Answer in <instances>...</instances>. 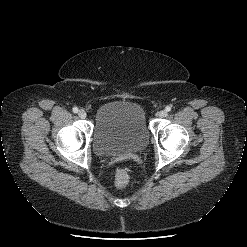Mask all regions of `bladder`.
I'll return each instance as SVG.
<instances>
[{"label":"bladder","instance_id":"bladder-1","mask_svg":"<svg viewBox=\"0 0 247 247\" xmlns=\"http://www.w3.org/2000/svg\"><path fill=\"white\" fill-rule=\"evenodd\" d=\"M144 108L132 100H113L98 108L92 134L100 156H120L142 151L149 142Z\"/></svg>","mask_w":247,"mask_h":247}]
</instances>
